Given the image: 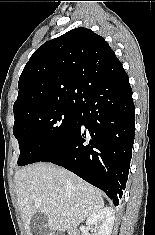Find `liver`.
<instances>
[{
  "instance_id": "liver-1",
  "label": "liver",
  "mask_w": 155,
  "mask_h": 235,
  "mask_svg": "<svg viewBox=\"0 0 155 235\" xmlns=\"http://www.w3.org/2000/svg\"><path fill=\"white\" fill-rule=\"evenodd\" d=\"M16 195L27 235L36 212L47 217V227L65 232L103 209L101 193L72 172L48 163H36L14 176Z\"/></svg>"
}]
</instances>
